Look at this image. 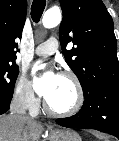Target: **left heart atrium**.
Here are the masks:
<instances>
[{
  "label": "left heart atrium",
  "mask_w": 119,
  "mask_h": 141,
  "mask_svg": "<svg viewBox=\"0 0 119 141\" xmlns=\"http://www.w3.org/2000/svg\"><path fill=\"white\" fill-rule=\"evenodd\" d=\"M38 73H41L40 77H36ZM33 74L36 91L40 96L47 98L52 93L59 75L52 68H47L45 64L35 66Z\"/></svg>",
  "instance_id": "left-heart-atrium-1"
}]
</instances>
